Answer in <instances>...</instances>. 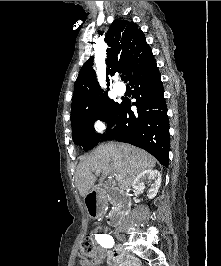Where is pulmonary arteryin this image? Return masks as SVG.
I'll use <instances>...</instances> for the list:
<instances>
[{
  "mask_svg": "<svg viewBox=\"0 0 221 266\" xmlns=\"http://www.w3.org/2000/svg\"><path fill=\"white\" fill-rule=\"evenodd\" d=\"M114 91H115L116 94L122 95L125 92V88L116 86V87H114Z\"/></svg>",
  "mask_w": 221,
  "mask_h": 266,
  "instance_id": "pulmonary-artery-1",
  "label": "pulmonary artery"
}]
</instances>
